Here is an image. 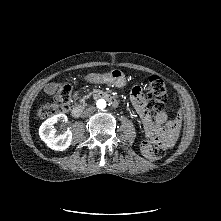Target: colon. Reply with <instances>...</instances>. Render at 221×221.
I'll return each mask as SVG.
<instances>
[{"label":"colon","instance_id":"obj_1","mask_svg":"<svg viewBox=\"0 0 221 221\" xmlns=\"http://www.w3.org/2000/svg\"><path fill=\"white\" fill-rule=\"evenodd\" d=\"M167 87L164 80L159 76H151L147 84L148 106L153 111L160 112L164 109ZM71 102V87L64 85L53 95V101L41 107L37 115L41 119L54 116L65 111ZM167 142L155 144L150 148V157L161 159L166 154Z\"/></svg>","mask_w":221,"mask_h":221}]
</instances>
